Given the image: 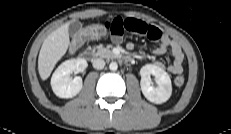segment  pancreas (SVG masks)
<instances>
[{
	"label": "pancreas",
	"mask_w": 231,
	"mask_h": 134,
	"mask_svg": "<svg viewBox=\"0 0 231 134\" xmlns=\"http://www.w3.org/2000/svg\"><path fill=\"white\" fill-rule=\"evenodd\" d=\"M97 56L104 57V58H114L115 55L112 53L111 50L108 48H105L103 46H100L96 52Z\"/></svg>",
	"instance_id": "cf45deb5"
}]
</instances>
